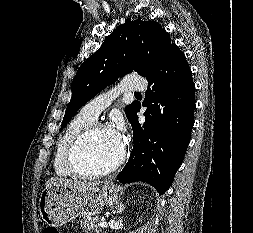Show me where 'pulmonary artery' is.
<instances>
[{
  "label": "pulmonary artery",
  "instance_id": "pulmonary-artery-1",
  "mask_svg": "<svg viewBox=\"0 0 253 233\" xmlns=\"http://www.w3.org/2000/svg\"><path fill=\"white\" fill-rule=\"evenodd\" d=\"M146 81L137 78L129 77L124 79L118 86L115 88L101 93L86 103L80 110V113L84 116H87L93 120L97 119L99 114L107 108L111 102L117 97L120 93L123 92H139L146 88Z\"/></svg>",
  "mask_w": 253,
  "mask_h": 233
}]
</instances>
